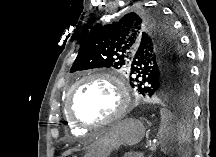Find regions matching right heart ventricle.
<instances>
[{
	"label": "right heart ventricle",
	"instance_id": "right-heart-ventricle-1",
	"mask_svg": "<svg viewBox=\"0 0 216 157\" xmlns=\"http://www.w3.org/2000/svg\"><path fill=\"white\" fill-rule=\"evenodd\" d=\"M68 124H69V128L73 133H82L84 131V129L78 125H76L75 123H73L72 121L68 120Z\"/></svg>",
	"mask_w": 216,
	"mask_h": 157
}]
</instances>
